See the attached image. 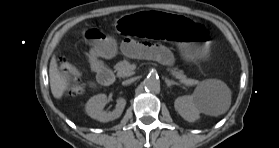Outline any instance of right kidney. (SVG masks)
Listing matches in <instances>:
<instances>
[{
  "label": "right kidney",
  "mask_w": 279,
  "mask_h": 148,
  "mask_svg": "<svg viewBox=\"0 0 279 148\" xmlns=\"http://www.w3.org/2000/svg\"><path fill=\"white\" fill-rule=\"evenodd\" d=\"M107 102V96L105 94H98L91 97L86 103V112L88 115L100 122H108L119 118L125 108L126 100L119 98L115 110L112 112L104 111V107Z\"/></svg>",
  "instance_id": "obj_1"
}]
</instances>
